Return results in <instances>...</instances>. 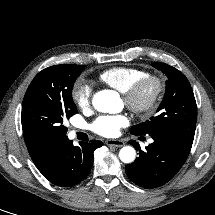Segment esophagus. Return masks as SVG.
<instances>
[{"label": "esophagus", "mask_w": 215, "mask_h": 215, "mask_svg": "<svg viewBox=\"0 0 215 215\" xmlns=\"http://www.w3.org/2000/svg\"><path fill=\"white\" fill-rule=\"evenodd\" d=\"M106 145L108 146H114V147H122L125 145V143L122 140H106L105 142Z\"/></svg>", "instance_id": "obj_1"}]
</instances>
